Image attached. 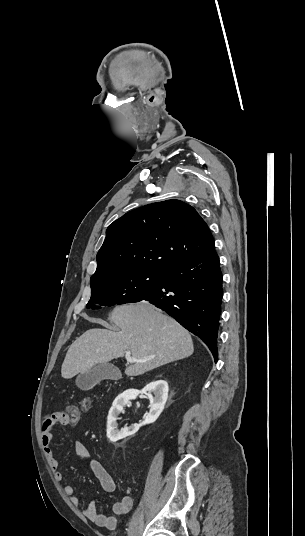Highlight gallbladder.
<instances>
[{
  "label": "gallbladder",
  "mask_w": 305,
  "mask_h": 536,
  "mask_svg": "<svg viewBox=\"0 0 305 536\" xmlns=\"http://www.w3.org/2000/svg\"><path fill=\"white\" fill-rule=\"evenodd\" d=\"M122 374L116 366L112 364H97L94 370L87 374H79L75 380L77 388L80 390H92L101 380H120Z\"/></svg>",
  "instance_id": "bac80fb5"
}]
</instances>
